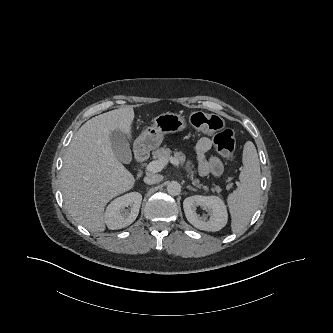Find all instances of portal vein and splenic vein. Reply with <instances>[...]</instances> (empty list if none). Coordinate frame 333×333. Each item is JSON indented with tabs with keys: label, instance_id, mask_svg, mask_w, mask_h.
Here are the masks:
<instances>
[{
	"label": "portal vein and splenic vein",
	"instance_id": "obj_1",
	"mask_svg": "<svg viewBox=\"0 0 333 333\" xmlns=\"http://www.w3.org/2000/svg\"><path fill=\"white\" fill-rule=\"evenodd\" d=\"M169 160L173 165H175V166L179 165V160L177 158L170 157ZM166 164H167V162L164 160L152 161L146 166V172H150V173L160 172Z\"/></svg>",
	"mask_w": 333,
	"mask_h": 333
}]
</instances>
